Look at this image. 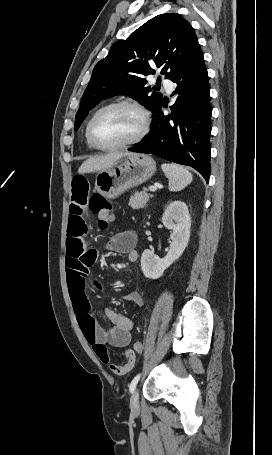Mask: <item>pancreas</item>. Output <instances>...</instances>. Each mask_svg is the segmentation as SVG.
<instances>
[{
    "label": "pancreas",
    "instance_id": "1",
    "mask_svg": "<svg viewBox=\"0 0 272 455\" xmlns=\"http://www.w3.org/2000/svg\"><path fill=\"white\" fill-rule=\"evenodd\" d=\"M153 195L148 193V189H143V191L136 193L129 200V206L133 209L143 208L150 200Z\"/></svg>",
    "mask_w": 272,
    "mask_h": 455
}]
</instances>
